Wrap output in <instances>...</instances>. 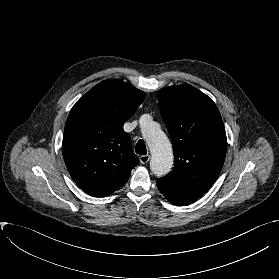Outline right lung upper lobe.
Returning <instances> with one entry per match:
<instances>
[{
  "mask_svg": "<svg viewBox=\"0 0 279 279\" xmlns=\"http://www.w3.org/2000/svg\"><path fill=\"white\" fill-rule=\"evenodd\" d=\"M145 93L122 80H105L71 109L63 135V157L74 182L86 193L105 197L129 179L139 163L123 124Z\"/></svg>",
  "mask_w": 279,
  "mask_h": 279,
  "instance_id": "obj_1",
  "label": "right lung upper lobe"
}]
</instances>
